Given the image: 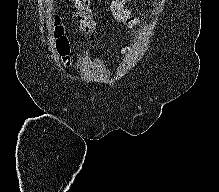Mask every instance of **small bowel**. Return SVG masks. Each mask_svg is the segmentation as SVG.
<instances>
[{
    "label": "small bowel",
    "mask_w": 219,
    "mask_h": 192,
    "mask_svg": "<svg viewBox=\"0 0 219 192\" xmlns=\"http://www.w3.org/2000/svg\"><path fill=\"white\" fill-rule=\"evenodd\" d=\"M132 0H111L110 3V9L116 18V20L125 23L128 25L130 28H133L138 24V19L132 15L131 11L127 7V4L130 3ZM77 8V16L81 20V26L83 29L86 30L84 26V21L85 20H90L91 14L90 11L87 8H82L80 6H76ZM93 28H90L86 31H90Z\"/></svg>",
    "instance_id": "obj_1"
}]
</instances>
